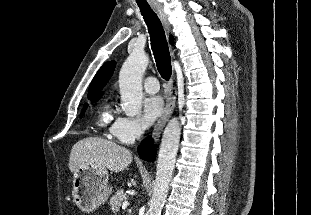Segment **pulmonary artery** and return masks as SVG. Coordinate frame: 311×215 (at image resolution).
Wrapping results in <instances>:
<instances>
[{
	"mask_svg": "<svg viewBox=\"0 0 311 215\" xmlns=\"http://www.w3.org/2000/svg\"><path fill=\"white\" fill-rule=\"evenodd\" d=\"M144 88L148 93H156L159 90V83L155 77H147L144 80Z\"/></svg>",
	"mask_w": 311,
	"mask_h": 215,
	"instance_id": "pulmonary-artery-1",
	"label": "pulmonary artery"
}]
</instances>
